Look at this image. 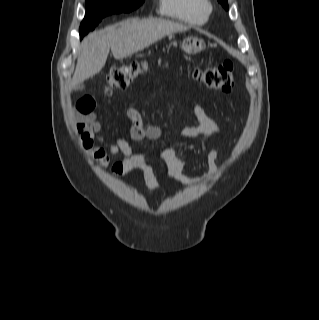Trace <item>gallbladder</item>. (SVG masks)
I'll use <instances>...</instances> for the list:
<instances>
[{"label":"gallbladder","mask_w":319,"mask_h":320,"mask_svg":"<svg viewBox=\"0 0 319 320\" xmlns=\"http://www.w3.org/2000/svg\"><path fill=\"white\" fill-rule=\"evenodd\" d=\"M84 86L83 85H77L76 87H75V89H82Z\"/></svg>","instance_id":"1"}]
</instances>
